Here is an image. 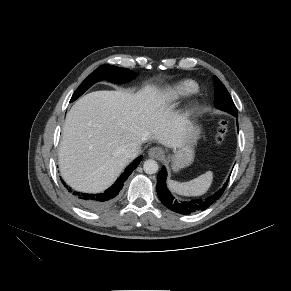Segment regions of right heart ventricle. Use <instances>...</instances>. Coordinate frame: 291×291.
I'll use <instances>...</instances> for the list:
<instances>
[{
    "mask_svg": "<svg viewBox=\"0 0 291 291\" xmlns=\"http://www.w3.org/2000/svg\"><path fill=\"white\" fill-rule=\"evenodd\" d=\"M198 90V84L193 80H183L168 90V97L172 100L185 98Z\"/></svg>",
    "mask_w": 291,
    "mask_h": 291,
    "instance_id": "obj_1",
    "label": "right heart ventricle"
}]
</instances>
